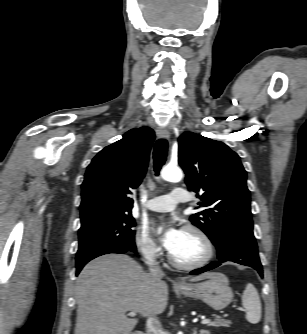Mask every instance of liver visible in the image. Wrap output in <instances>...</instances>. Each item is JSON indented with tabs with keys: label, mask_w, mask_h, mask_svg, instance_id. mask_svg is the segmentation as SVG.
<instances>
[{
	"label": "liver",
	"mask_w": 307,
	"mask_h": 334,
	"mask_svg": "<svg viewBox=\"0 0 307 334\" xmlns=\"http://www.w3.org/2000/svg\"><path fill=\"white\" fill-rule=\"evenodd\" d=\"M212 276L203 273L190 281ZM78 305L75 334H131L139 317L161 314L167 307L168 287L144 272L133 258L106 254L85 265L76 281Z\"/></svg>",
	"instance_id": "1"
}]
</instances>
